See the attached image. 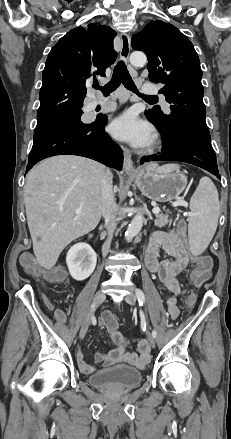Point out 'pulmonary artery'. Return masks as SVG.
<instances>
[{
	"mask_svg": "<svg viewBox=\"0 0 231 439\" xmlns=\"http://www.w3.org/2000/svg\"><path fill=\"white\" fill-rule=\"evenodd\" d=\"M143 90L147 94H157L158 93L157 88L154 85L150 84V83L144 84ZM109 103H110V101L96 100V101H93L91 103L90 107L94 108V107H96L98 105H107ZM162 105H163V108H164L165 112L166 113H170V105L168 104V102L164 98H162Z\"/></svg>",
	"mask_w": 231,
	"mask_h": 439,
	"instance_id": "e3ab8cb5",
	"label": "pulmonary artery"
}]
</instances>
